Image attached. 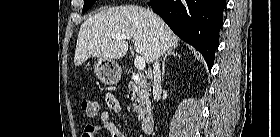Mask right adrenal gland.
<instances>
[{"label": "right adrenal gland", "mask_w": 280, "mask_h": 137, "mask_svg": "<svg viewBox=\"0 0 280 137\" xmlns=\"http://www.w3.org/2000/svg\"><path fill=\"white\" fill-rule=\"evenodd\" d=\"M169 56L180 57V54L177 51L175 52L173 49H170V50L166 51V53L164 54L163 61H162V80L165 76V61H166L167 57H169Z\"/></svg>", "instance_id": "1"}]
</instances>
